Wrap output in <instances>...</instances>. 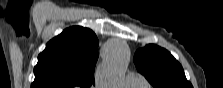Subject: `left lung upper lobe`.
Instances as JSON below:
<instances>
[{
  "mask_svg": "<svg viewBox=\"0 0 223 88\" xmlns=\"http://www.w3.org/2000/svg\"><path fill=\"white\" fill-rule=\"evenodd\" d=\"M134 63L154 88H193L180 63L159 46L149 44L137 50Z\"/></svg>",
  "mask_w": 223,
  "mask_h": 88,
  "instance_id": "obj_1",
  "label": "left lung upper lobe"
}]
</instances>
